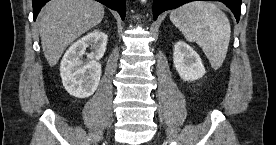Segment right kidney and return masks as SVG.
Wrapping results in <instances>:
<instances>
[{
	"instance_id": "1",
	"label": "right kidney",
	"mask_w": 276,
	"mask_h": 145,
	"mask_svg": "<svg viewBox=\"0 0 276 145\" xmlns=\"http://www.w3.org/2000/svg\"><path fill=\"white\" fill-rule=\"evenodd\" d=\"M107 45V35L94 30L75 43L64 54L60 75L66 91L76 98H87L97 89L101 77V64ZM91 52L86 53V48ZM86 55V59L83 57Z\"/></svg>"
}]
</instances>
